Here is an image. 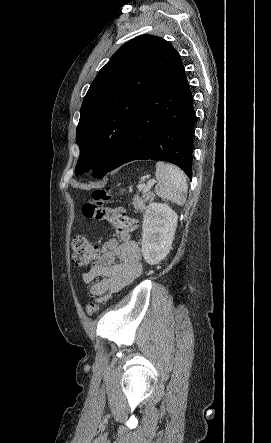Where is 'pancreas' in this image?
<instances>
[{"label":"pancreas","instance_id":"pancreas-1","mask_svg":"<svg viewBox=\"0 0 271 443\" xmlns=\"http://www.w3.org/2000/svg\"><path fill=\"white\" fill-rule=\"evenodd\" d=\"M153 200H154V194H151V192H147V194H144L143 198L135 196V198H133L132 204L136 212H143V210H146L145 208L146 202H153Z\"/></svg>","mask_w":271,"mask_h":443}]
</instances>
